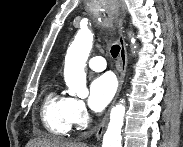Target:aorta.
I'll return each mask as SVG.
<instances>
[{
	"label": "aorta",
	"mask_w": 183,
	"mask_h": 147,
	"mask_svg": "<svg viewBox=\"0 0 183 147\" xmlns=\"http://www.w3.org/2000/svg\"><path fill=\"white\" fill-rule=\"evenodd\" d=\"M134 42V38L131 39ZM93 45V33L89 29H81L76 34L67 50L64 66V80L71 96L86 98L85 66ZM124 100L115 105L110 111V121L103 137L102 147H121V130L124 123Z\"/></svg>",
	"instance_id": "obj_1"
}]
</instances>
